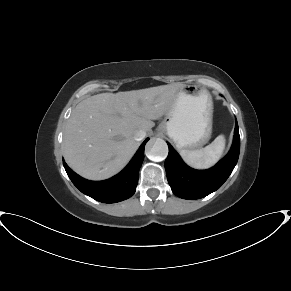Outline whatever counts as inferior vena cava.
Listing matches in <instances>:
<instances>
[{"label":"inferior vena cava","instance_id":"1","mask_svg":"<svg viewBox=\"0 0 291 291\" xmlns=\"http://www.w3.org/2000/svg\"><path fill=\"white\" fill-rule=\"evenodd\" d=\"M145 136H146V132L144 130H138L134 134V139L136 141H141L145 138Z\"/></svg>","mask_w":291,"mask_h":291}]
</instances>
